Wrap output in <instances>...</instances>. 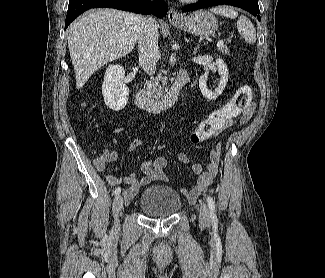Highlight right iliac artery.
<instances>
[{
    "label": "right iliac artery",
    "mask_w": 325,
    "mask_h": 278,
    "mask_svg": "<svg viewBox=\"0 0 325 278\" xmlns=\"http://www.w3.org/2000/svg\"><path fill=\"white\" fill-rule=\"evenodd\" d=\"M120 192H121V189H120V187H118V188L115 189L114 195L117 196V195L120 194Z\"/></svg>",
    "instance_id": "obj_1"
}]
</instances>
